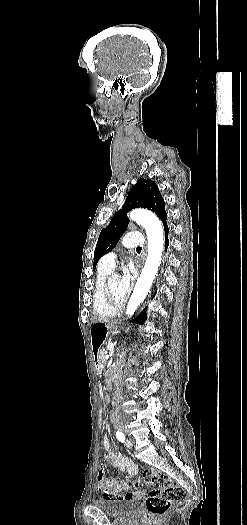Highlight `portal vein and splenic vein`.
Here are the masks:
<instances>
[{"mask_svg": "<svg viewBox=\"0 0 247 525\" xmlns=\"http://www.w3.org/2000/svg\"><path fill=\"white\" fill-rule=\"evenodd\" d=\"M109 355H106L105 361H108Z\"/></svg>", "mask_w": 247, "mask_h": 525, "instance_id": "portal-vein-and-splenic-vein-1", "label": "portal vein and splenic vein"}]
</instances>
